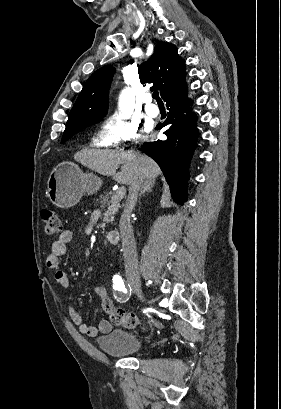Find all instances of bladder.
I'll return each instance as SVG.
<instances>
[{
    "mask_svg": "<svg viewBox=\"0 0 281 409\" xmlns=\"http://www.w3.org/2000/svg\"><path fill=\"white\" fill-rule=\"evenodd\" d=\"M96 346L106 356L127 357L147 350L145 341L130 329H110L107 335L97 336Z\"/></svg>",
    "mask_w": 281,
    "mask_h": 409,
    "instance_id": "bladder-1",
    "label": "bladder"
}]
</instances>
